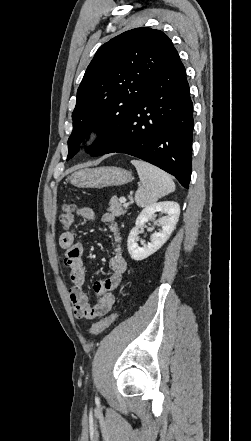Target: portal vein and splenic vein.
Segmentation results:
<instances>
[{
	"label": "portal vein and splenic vein",
	"instance_id": "1",
	"mask_svg": "<svg viewBox=\"0 0 251 441\" xmlns=\"http://www.w3.org/2000/svg\"><path fill=\"white\" fill-rule=\"evenodd\" d=\"M119 201H120L121 203H126V198H125V197H120Z\"/></svg>",
	"mask_w": 251,
	"mask_h": 441
}]
</instances>
